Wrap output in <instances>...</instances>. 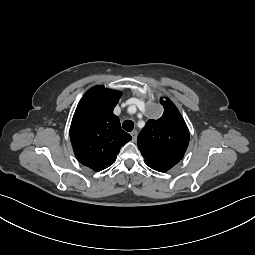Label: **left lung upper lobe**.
<instances>
[{"instance_id":"left-lung-upper-lobe-1","label":"left lung upper lobe","mask_w":255,"mask_h":255,"mask_svg":"<svg viewBox=\"0 0 255 255\" xmlns=\"http://www.w3.org/2000/svg\"><path fill=\"white\" fill-rule=\"evenodd\" d=\"M163 115L150 119L138 135L137 144L145 163L159 172H166L183 157L189 144V130L176 106L161 100Z\"/></svg>"}]
</instances>
